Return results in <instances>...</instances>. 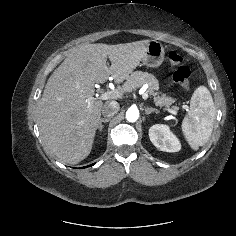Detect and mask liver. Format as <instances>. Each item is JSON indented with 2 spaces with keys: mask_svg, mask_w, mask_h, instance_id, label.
I'll return each instance as SVG.
<instances>
[{
  "mask_svg": "<svg viewBox=\"0 0 236 236\" xmlns=\"http://www.w3.org/2000/svg\"><path fill=\"white\" fill-rule=\"evenodd\" d=\"M149 43L82 44L52 73L38 102V124L43 143L59 160L77 164L90 154L103 106L94 97V84L110 76L117 84L123 82Z\"/></svg>",
  "mask_w": 236,
  "mask_h": 236,
  "instance_id": "liver-1",
  "label": "liver"
}]
</instances>
